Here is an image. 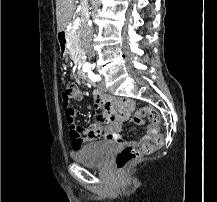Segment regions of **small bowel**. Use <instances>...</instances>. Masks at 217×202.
<instances>
[{
  "mask_svg": "<svg viewBox=\"0 0 217 202\" xmlns=\"http://www.w3.org/2000/svg\"><path fill=\"white\" fill-rule=\"evenodd\" d=\"M82 96V91L78 86L72 85L70 87L71 99L80 100ZM92 96L94 109H105V112L99 116L98 123H92L87 128L81 126L72 127L70 136H67V141L81 142H71V147H83L85 143L96 142L102 138H110L120 144L137 146L154 139L157 135L158 127L150 123L146 128V134L139 142H127L123 136L118 133L120 126L116 121H127L130 117V113H134L136 104H134L133 101H108L110 96L99 90H93Z\"/></svg>",
  "mask_w": 217,
  "mask_h": 202,
  "instance_id": "1",
  "label": "small bowel"
}]
</instances>
